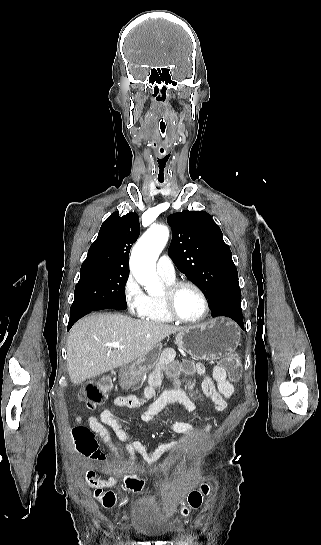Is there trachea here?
Masks as SVG:
<instances>
[{
	"label": "trachea",
	"instance_id": "trachea-1",
	"mask_svg": "<svg viewBox=\"0 0 321 545\" xmlns=\"http://www.w3.org/2000/svg\"><path fill=\"white\" fill-rule=\"evenodd\" d=\"M160 124H161L160 125V132L162 134H165L167 132V125H166L167 123H166V121L163 120V121H161ZM160 138L163 140L165 137L162 135Z\"/></svg>",
	"mask_w": 321,
	"mask_h": 545
}]
</instances>
